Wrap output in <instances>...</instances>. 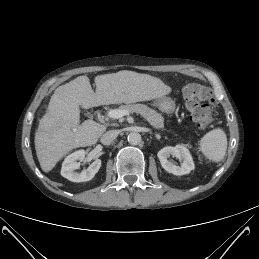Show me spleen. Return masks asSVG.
<instances>
[{"instance_id":"spleen-1","label":"spleen","mask_w":259,"mask_h":259,"mask_svg":"<svg viewBox=\"0 0 259 259\" xmlns=\"http://www.w3.org/2000/svg\"><path fill=\"white\" fill-rule=\"evenodd\" d=\"M200 151L214 162L221 161L227 150V136L223 129L216 128L206 133L199 143Z\"/></svg>"}]
</instances>
